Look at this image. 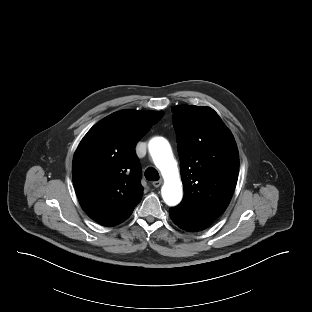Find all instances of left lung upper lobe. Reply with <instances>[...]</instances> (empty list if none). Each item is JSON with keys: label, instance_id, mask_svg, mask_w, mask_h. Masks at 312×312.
Returning a JSON list of instances; mask_svg holds the SVG:
<instances>
[{"label": "left lung upper lobe", "instance_id": "1", "mask_svg": "<svg viewBox=\"0 0 312 312\" xmlns=\"http://www.w3.org/2000/svg\"><path fill=\"white\" fill-rule=\"evenodd\" d=\"M172 112L184 187L176 208L212 223L226 210L237 183L235 139L209 107L179 105Z\"/></svg>", "mask_w": 312, "mask_h": 312}]
</instances>
